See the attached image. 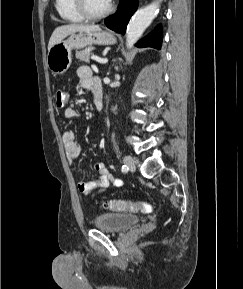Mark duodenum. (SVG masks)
<instances>
[{
    "mask_svg": "<svg viewBox=\"0 0 243 289\" xmlns=\"http://www.w3.org/2000/svg\"><path fill=\"white\" fill-rule=\"evenodd\" d=\"M93 100L95 107L98 111H100L103 107V96H102V90L101 87H97L93 91Z\"/></svg>",
    "mask_w": 243,
    "mask_h": 289,
    "instance_id": "1",
    "label": "duodenum"
}]
</instances>
